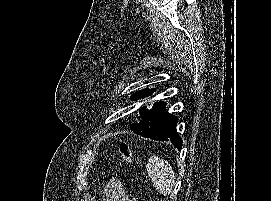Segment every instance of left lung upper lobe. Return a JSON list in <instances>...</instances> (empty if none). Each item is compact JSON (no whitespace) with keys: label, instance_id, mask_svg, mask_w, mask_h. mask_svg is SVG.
<instances>
[{"label":"left lung upper lobe","instance_id":"5c2ea615","mask_svg":"<svg viewBox=\"0 0 271 201\" xmlns=\"http://www.w3.org/2000/svg\"><path fill=\"white\" fill-rule=\"evenodd\" d=\"M155 89H143L131 95L132 101L145 98ZM166 102H156L151 109L143 107L139 110L140 118L132 124L138 129V134L153 140L166 137L171 129L173 115L165 110Z\"/></svg>","mask_w":271,"mask_h":201}]
</instances>
